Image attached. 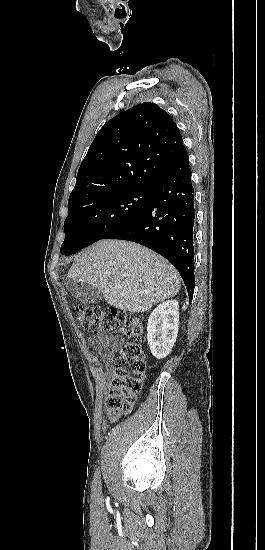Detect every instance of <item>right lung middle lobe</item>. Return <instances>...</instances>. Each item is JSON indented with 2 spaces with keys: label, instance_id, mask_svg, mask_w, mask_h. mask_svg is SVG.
<instances>
[{
  "label": "right lung middle lobe",
  "instance_id": "1",
  "mask_svg": "<svg viewBox=\"0 0 265 550\" xmlns=\"http://www.w3.org/2000/svg\"><path fill=\"white\" fill-rule=\"evenodd\" d=\"M150 190L134 188L69 203L60 253L73 254L135 219L146 207Z\"/></svg>",
  "mask_w": 265,
  "mask_h": 550
}]
</instances>
